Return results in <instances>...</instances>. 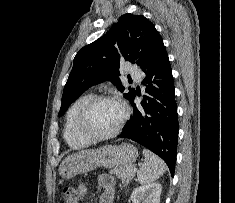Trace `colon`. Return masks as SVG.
Here are the masks:
<instances>
[{
	"instance_id": "colon-1",
	"label": "colon",
	"mask_w": 235,
	"mask_h": 203,
	"mask_svg": "<svg viewBox=\"0 0 235 203\" xmlns=\"http://www.w3.org/2000/svg\"><path fill=\"white\" fill-rule=\"evenodd\" d=\"M85 192L86 187L83 184L65 187L63 190L64 203H80Z\"/></svg>"
}]
</instances>
